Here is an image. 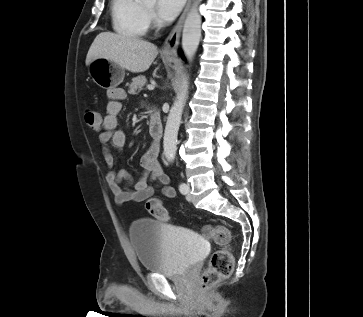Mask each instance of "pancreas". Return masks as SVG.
I'll list each match as a JSON object with an SVG mask.
<instances>
[{
  "instance_id": "1",
  "label": "pancreas",
  "mask_w": 363,
  "mask_h": 317,
  "mask_svg": "<svg viewBox=\"0 0 363 317\" xmlns=\"http://www.w3.org/2000/svg\"><path fill=\"white\" fill-rule=\"evenodd\" d=\"M147 83V79L143 75H139L137 77H134L132 79V82L129 84V90L128 93L130 95H135L139 91L143 89V86ZM138 91V92H137Z\"/></svg>"
}]
</instances>
